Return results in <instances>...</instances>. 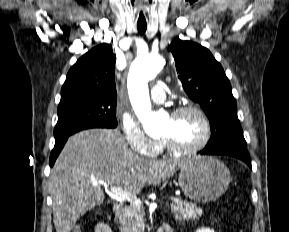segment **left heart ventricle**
I'll use <instances>...</instances> for the list:
<instances>
[{"mask_svg": "<svg viewBox=\"0 0 289 232\" xmlns=\"http://www.w3.org/2000/svg\"><path fill=\"white\" fill-rule=\"evenodd\" d=\"M204 135V125L200 117L187 111L177 117H168L163 125L162 136L180 146H192Z\"/></svg>", "mask_w": 289, "mask_h": 232, "instance_id": "obj_1", "label": "left heart ventricle"}]
</instances>
